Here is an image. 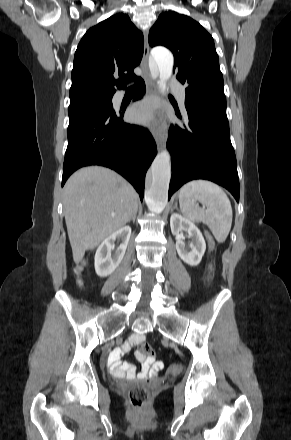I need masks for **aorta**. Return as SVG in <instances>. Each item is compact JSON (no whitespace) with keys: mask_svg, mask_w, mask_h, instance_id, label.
Segmentation results:
<instances>
[{"mask_svg":"<svg viewBox=\"0 0 291 440\" xmlns=\"http://www.w3.org/2000/svg\"><path fill=\"white\" fill-rule=\"evenodd\" d=\"M152 57L159 70V92L166 96L168 92L167 82L173 70V55L165 48H155L152 50ZM170 178L171 156L167 150H164L155 157L149 173L145 200L150 211L159 213L165 209Z\"/></svg>","mask_w":291,"mask_h":440,"instance_id":"762f6f07","label":"aorta"}]
</instances>
